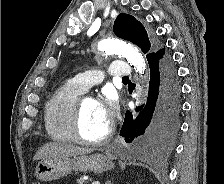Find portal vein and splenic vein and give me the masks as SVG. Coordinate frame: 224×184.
Returning <instances> with one entry per match:
<instances>
[{"instance_id":"obj_1","label":"portal vein and splenic vein","mask_w":224,"mask_h":184,"mask_svg":"<svg viewBox=\"0 0 224 184\" xmlns=\"http://www.w3.org/2000/svg\"><path fill=\"white\" fill-rule=\"evenodd\" d=\"M92 184H100V182L99 181H94V182H92Z\"/></svg>"}]
</instances>
